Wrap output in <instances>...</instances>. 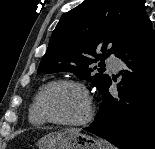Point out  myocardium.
Masks as SVG:
<instances>
[{"instance_id": "myocardium-1", "label": "myocardium", "mask_w": 155, "mask_h": 149, "mask_svg": "<svg viewBox=\"0 0 155 149\" xmlns=\"http://www.w3.org/2000/svg\"><path fill=\"white\" fill-rule=\"evenodd\" d=\"M56 85H71V86L77 87L81 91V93L83 94L85 98V103H86V112L81 119L75 120V121L60 120V119H56L52 117L46 111L45 106H44L45 94L51 87L56 86ZM37 110L39 114L42 116V118L46 120L47 122L57 124V125H62V126L84 125L88 123L94 115V107H93L92 99H91L88 88L80 80L70 79V78H60V79H56V80L50 81L47 84H45L38 94Z\"/></svg>"}]
</instances>
